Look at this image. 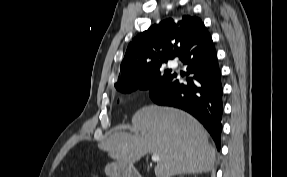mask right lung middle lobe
I'll list each match as a JSON object with an SVG mask.
<instances>
[{"label": "right lung middle lobe", "mask_w": 287, "mask_h": 177, "mask_svg": "<svg viewBox=\"0 0 287 177\" xmlns=\"http://www.w3.org/2000/svg\"><path fill=\"white\" fill-rule=\"evenodd\" d=\"M166 63V62H164ZM163 63L158 64L155 68L149 71L140 81L132 84L117 86L116 89L122 93H131L137 89L148 90L157 83L165 81L172 73L171 70H163Z\"/></svg>", "instance_id": "1"}]
</instances>
